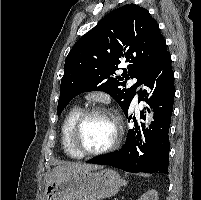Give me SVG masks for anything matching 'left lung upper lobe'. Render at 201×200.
<instances>
[{"instance_id": "obj_1", "label": "left lung upper lobe", "mask_w": 201, "mask_h": 200, "mask_svg": "<svg viewBox=\"0 0 201 200\" xmlns=\"http://www.w3.org/2000/svg\"><path fill=\"white\" fill-rule=\"evenodd\" d=\"M166 52L159 26L146 9L127 4L112 11L66 57L58 115L73 97L88 91L108 93L126 113L136 88ZM120 63L127 64L123 77L113 78ZM130 78L137 83L123 88Z\"/></svg>"}]
</instances>
